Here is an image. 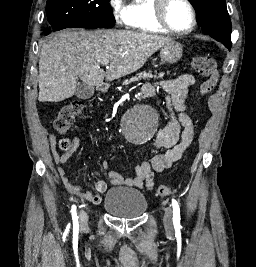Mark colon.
<instances>
[{"label":"colon","instance_id":"obj_1","mask_svg":"<svg viewBox=\"0 0 256 267\" xmlns=\"http://www.w3.org/2000/svg\"><path fill=\"white\" fill-rule=\"evenodd\" d=\"M192 65L194 69L205 78L200 86L199 95H209L215 89L218 81V70L215 59L208 56H200L193 60ZM84 111L85 106L82 101L64 105L59 109L53 121L54 130L57 133H66L74 119L81 116ZM61 146L67 149L69 147V142L63 141ZM155 191L158 196H170L172 193V189L165 184L158 185Z\"/></svg>","mask_w":256,"mask_h":267}]
</instances>
